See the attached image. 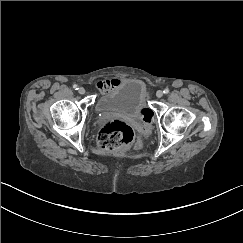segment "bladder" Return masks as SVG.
I'll return each mask as SVG.
<instances>
[{
	"mask_svg": "<svg viewBox=\"0 0 243 243\" xmlns=\"http://www.w3.org/2000/svg\"><path fill=\"white\" fill-rule=\"evenodd\" d=\"M147 89L143 80L127 78L109 92L101 95L94 108L98 113H110L140 119L146 110Z\"/></svg>",
	"mask_w": 243,
	"mask_h": 243,
	"instance_id": "obj_1",
	"label": "bladder"
}]
</instances>
